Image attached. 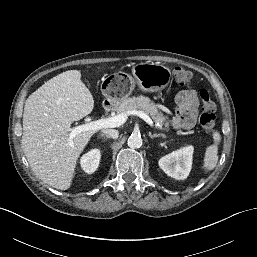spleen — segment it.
I'll return each mask as SVG.
<instances>
[{
  "label": "spleen",
  "instance_id": "1",
  "mask_svg": "<svg viewBox=\"0 0 257 257\" xmlns=\"http://www.w3.org/2000/svg\"><path fill=\"white\" fill-rule=\"evenodd\" d=\"M213 137V144L209 145L206 148L204 159H203V165L202 168L205 172H209L213 170L218 162V150H219V144L221 142V136L218 131H213L212 133Z\"/></svg>",
  "mask_w": 257,
  "mask_h": 257
}]
</instances>
